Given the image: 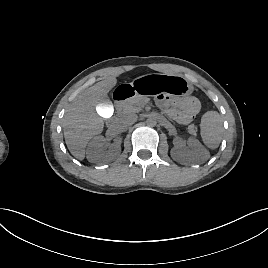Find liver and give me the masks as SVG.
I'll use <instances>...</instances> for the list:
<instances>
[{"label": "liver", "instance_id": "1", "mask_svg": "<svg viewBox=\"0 0 268 268\" xmlns=\"http://www.w3.org/2000/svg\"><path fill=\"white\" fill-rule=\"evenodd\" d=\"M116 83V77L111 76L92 85L76 97L66 113L64 138L75 158L83 160L88 141L103 131L104 121L96 112V107L102 105V100L107 98Z\"/></svg>", "mask_w": 268, "mask_h": 268}]
</instances>
